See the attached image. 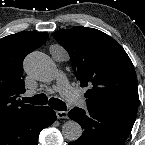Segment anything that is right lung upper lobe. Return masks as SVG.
<instances>
[{
	"instance_id": "right-lung-upper-lobe-1",
	"label": "right lung upper lobe",
	"mask_w": 145,
	"mask_h": 145,
	"mask_svg": "<svg viewBox=\"0 0 145 145\" xmlns=\"http://www.w3.org/2000/svg\"><path fill=\"white\" fill-rule=\"evenodd\" d=\"M48 38L46 32H19L0 39V125L37 106L24 104L23 60Z\"/></svg>"
}]
</instances>
